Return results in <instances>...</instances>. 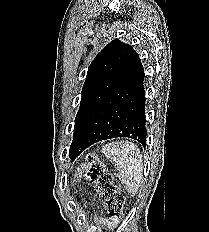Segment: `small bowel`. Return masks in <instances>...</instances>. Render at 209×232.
<instances>
[{
	"mask_svg": "<svg viewBox=\"0 0 209 232\" xmlns=\"http://www.w3.org/2000/svg\"><path fill=\"white\" fill-rule=\"evenodd\" d=\"M100 221L106 223L107 225L111 226L112 225V222L108 221V220H105V219H100Z\"/></svg>",
	"mask_w": 209,
	"mask_h": 232,
	"instance_id": "1",
	"label": "small bowel"
}]
</instances>
